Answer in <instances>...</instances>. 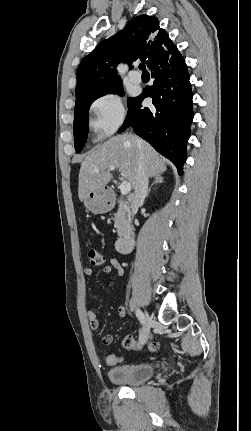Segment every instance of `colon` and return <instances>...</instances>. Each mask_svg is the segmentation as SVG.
<instances>
[{
	"instance_id": "obj_1",
	"label": "colon",
	"mask_w": 251,
	"mask_h": 431,
	"mask_svg": "<svg viewBox=\"0 0 251 431\" xmlns=\"http://www.w3.org/2000/svg\"><path fill=\"white\" fill-rule=\"evenodd\" d=\"M87 256L93 266H102L105 263L104 255L95 248L89 247L87 250ZM122 344L123 349L127 348L138 350L142 348L141 343L131 336L125 337ZM147 348L150 352H156L159 349V343L152 341L148 344ZM123 362V359H119V355L117 353H107L105 355V363L108 367L118 366L119 364H123Z\"/></svg>"
}]
</instances>
